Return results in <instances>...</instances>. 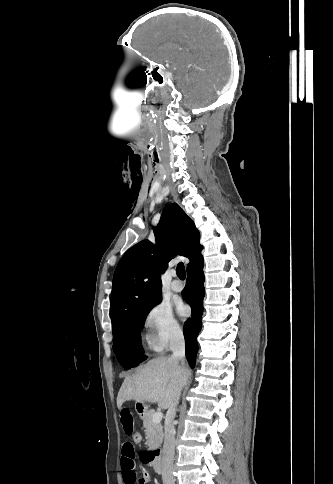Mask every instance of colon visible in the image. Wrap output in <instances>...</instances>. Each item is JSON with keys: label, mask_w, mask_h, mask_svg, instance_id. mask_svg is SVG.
<instances>
[{"label": "colon", "mask_w": 333, "mask_h": 484, "mask_svg": "<svg viewBox=\"0 0 333 484\" xmlns=\"http://www.w3.org/2000/svg\"><path fill=\"white\" fill-rule=\"evenodd\" d=\"M132 438H133V441L137 444L142 441V435L139 432H134L132 435Z\"/></svg>", "instance_id": "1"}]
</instances>
